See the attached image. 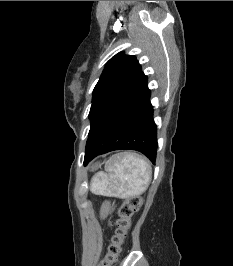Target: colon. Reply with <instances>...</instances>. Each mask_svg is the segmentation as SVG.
I'll use <instances>...</instances> for the list:
<instances>
[{"label":"colon","mask_w":233,"mask_h":266,"mask_svg":"<svg viewBox=\"0 0 233 266\" xmlns=\"http://www.w3.org/2000/svg\"><path fill=\"white\" fill-rule=\"evenodd\" d=\"M140 196L127 197L118 209L116 229L108 246L107 253L98 266H113L118 260L122 244L131 226L133 214L140 208Z\"/></svg>","instance_id":"5ec220e1"}]
</instances>
